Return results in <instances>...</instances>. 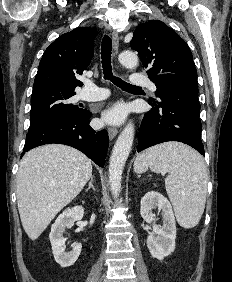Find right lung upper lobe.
Here are the masks:
<instances>
[{
	"label": "right lung upper lobe",
	"mask_w": 232,
	"mask_h": 282,
	"mask_svg": "<svg viewBox=\"0 0 232 282\" xmlns=\"http://www.w3.org/2000/svg\"><path fill=\"white\" fill-rule=\"evenodd\" d=\"M96 28L78 27L58 37L46 49L39 63L33 92L47 89L75 90L82 86L76 76L88 67L94 47Z\"/></svg>",
	"instance_id": "1"
}]
</instances>
